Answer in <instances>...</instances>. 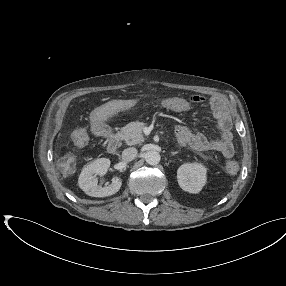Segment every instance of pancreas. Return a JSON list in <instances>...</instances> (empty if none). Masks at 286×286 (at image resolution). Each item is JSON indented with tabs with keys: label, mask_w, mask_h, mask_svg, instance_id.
I'll return each instance as SVG.
<instances>
[{
	"label": "pancreas",
	"mask_w": 286,
	"mask_h": 286,
	"mask_svg": "<svg viewBox=\"0 0 286 286\" xmlns=\"http://www.w3.org/2000/svg\"><path fill=\"white\" fill-rule=\"evenodd\" d=\"M143 122H131L123 127L118 133V138L124 140L128 145L140 144L144 141L143 128L146 126Z\"/></svg>",
	"instance_id": "pancreas-1"
}]
</instances>
